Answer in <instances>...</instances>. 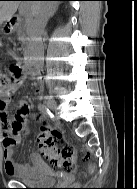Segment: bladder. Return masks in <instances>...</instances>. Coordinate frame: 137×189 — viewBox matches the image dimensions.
<instances>
[{"instance_id":"31cf9c89","label":"bladder","mask_w":137,"mask_h":189,"mask_svg":"<svg viewBox=\"0 0 137 189\" xmlns=\"http://www.w3.org/2000/svg\"><path fill=\"white\" fill-rule=\"evenodd\" d=\"M15 177L24 183L37 185H52L57 179L56 173L45 164L33 167L27 175H15Z\"/></svg>"}]
</instances>
